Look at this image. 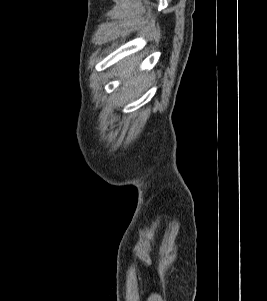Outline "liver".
Wrapping results in <instances>:
<instances>
[{
  "label": "liver",
  "mask_w": 267,
  "mask_h": 301,
  "mask_svg": "<svg viewBox=\"0 0 267 301\" xmlns=\"http://www.w3.org/2000/svg\"><path fill=\"white\" fill-rule=\"evenodd\" d=\"M133 70V67H130L129 70L124 69L123 70V74H128ZM129 83L131 85H136L137 81L135 79H132L131 81H129Z\"/></svg>",
  "instance_id": "obj_1"
}]
</instances>
